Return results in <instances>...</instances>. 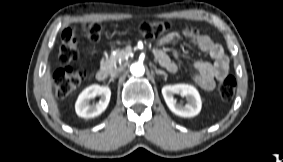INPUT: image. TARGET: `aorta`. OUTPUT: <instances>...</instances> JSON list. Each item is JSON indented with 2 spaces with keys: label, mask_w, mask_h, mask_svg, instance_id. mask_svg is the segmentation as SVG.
<instances>
[{
  "label": "aorta",
  "mask_w": 283,
  "mask_h": 162,
  "mask_svg": "<svg viewBox=\"0 0 283 162\" xmlns=\"http://www.w3.org/2000/svg\"><path fill=\"white\" fill-rule=\"evenodd\" d=\"M130 72L134 76H142L145 72V68H144L143 64H141L139 62L133 63L130 67Z\"/></svg>",
  "instance_id": "aorta-1"
}]
</instances>
